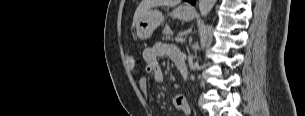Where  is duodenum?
Returning <instances> with one entry per match:
<instances>
[{
    "instance_id": "410a0bca",
    "label": "duodenum",
    "mask_w": 305,
    "mask_h": 116,
    "mask_svg": "<svg viewBox=\"0 0 305 116\" xmlns=\"http://www.w3.org/2000/svg\"><path fill=\"white\" fill-rule=\"evenodd\" d=\"M175 65L182 77V79L185 81L187 79V67H186V61L185 58L179 57L175 60Z\"/></svg>"
}]
</instances>
